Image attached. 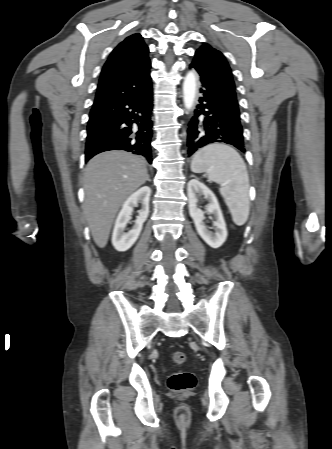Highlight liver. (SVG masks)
Returning a JSON list of instances; mask_svg holds the SVG:
<instances>
[{
  "mask_svg": "<svg viewBox=\"0 0 332 449\" xmlns=\"http://www.w3.org/2000/svg\"><path fill=\"white\" fill-rule=\"evenodd\" d=\"M147 176L146 161L125 151L103 152L88 162L83 212L98 247L106 246L118 210Z\"/></svg>",
  "mask_w": 332,
  "mask_h": 449,
  "instance_id": "6515ba94",
  "label": "liver"
}]
</instances>
